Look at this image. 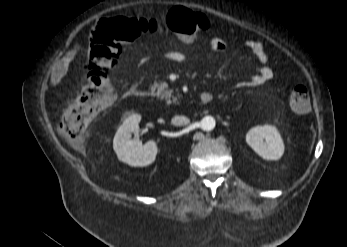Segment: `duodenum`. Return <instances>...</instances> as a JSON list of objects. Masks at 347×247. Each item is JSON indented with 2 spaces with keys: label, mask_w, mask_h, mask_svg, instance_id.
I'll return each instance as SVG.
<instances>
[{
  "label": "duodenum",
  "mask_w": 347,
  "mask_h": 247,
  "mask_svg": "<svg viewBox=\"0 0 347 247\" xmlns=\"http://www.w3.org/2000/svg\"><path fill=\"white\" fill-rule=\"evenodd\" d=\"M149 94V91L147 89H142V88H130L128 91L129 96L133 97H146ZM212 100V94L209 92H204L200 95L199 101L202 104H207Z\"/></svg>",
  "instance_id": "obj_1"
}]
</instances>
